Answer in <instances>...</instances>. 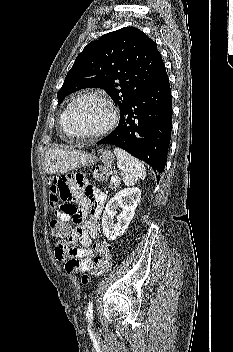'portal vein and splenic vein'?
I'll list each match as a JSON object with an SVG mask.
<instances>
[{
  "label": "portal vein and splenic vein",
  "instance_id": "1",
  "mask_svg": "<svg viewBox=\"0 0 233 352\" xmlns=\"http://www.w3.org/2000/svg\"><path fill=\"white\" fill-rule=\"evenodd\" d=\"M116 179H117L116 176H112V177H111V182H115Z\"/></svg>",
  "mask_w": 233,
  "mask_h": 352
}]
</instances>
